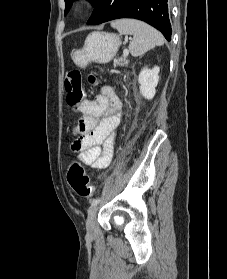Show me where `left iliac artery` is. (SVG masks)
Instances as JSON below:
<instances>
[{"instance_id":"44dca946","label":"left iliac artery","mask_w":227,"mask_h":279,"mask_svg":"<svg viewBox=\"0 0 227 279\" xmlns=\"http://www.w3.org/2000/svg\"><path fill=\"white\" fill-rule=\"evenodd\" d=\"M100 202V198H96L92 201V205H96Z\"/></svg>"}]
</instances>
